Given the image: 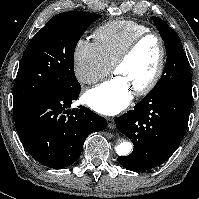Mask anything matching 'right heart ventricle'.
<instances>
[{
  "mask_svg": "<svg viewBox=\"0 0 199 199\" xmlns=\"http://www.w3.org/2000/svg\"><path fill=\"white\" fill-rule=\"evenodd\" d=\"M149 31L142 23L116 20L99 26L93 33L95 43L106 62L112 66L125 47L138 35Z\"/></svg>",
  "mask_w": 199,
  "mask_h": 199,
  "instance_id": "1",
  "label": "right heart ventricle"
}]
</instances>
